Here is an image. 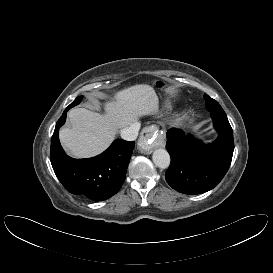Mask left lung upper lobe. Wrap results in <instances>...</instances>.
Returning <instances> with one entry per match:
<instances>
[{
    "instance_id": "1",
    "label": "left lung upper lobe",
    "mask_w": 273,
    "mask_h": 273,
    "mask_svg": "<svg viewBox=\"0 0 273 273\" xmlns=\"http://www.w3.org/2000/svg\"><path fill=\"white\" fill-rule=\"evenodd\" d=\"M204 98L206 108L210 111L211 114L225 115L224 110L216 100L212 99L208 95H204Z\"/></svg>"
}]
</instances>
